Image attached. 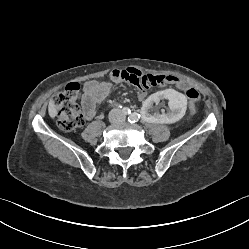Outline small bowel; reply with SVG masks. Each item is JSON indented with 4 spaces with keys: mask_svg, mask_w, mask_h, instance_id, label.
<instances>
[{
    "mask_svg": "<svg viewBox=\"0 0 249 249\" xmlns=\"http://www.w3.org/2000/svg\"><path fill=\"white\" fill-rule=\"evenodd\" d=\"M123 81L131 83L137 89L140 100H146V89L142 86V71L137 67H127L126 70L116 69L111 72L108 80H91L84 83L81 106L85 118H94L97 114V106L106 100L115 84Z\"/></svg>",
    "mask_w": 249,
    "mask_h": 249,
    "instance_id": "c3829d8e",
    "label": "small bowel"
}]
</instances>
